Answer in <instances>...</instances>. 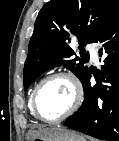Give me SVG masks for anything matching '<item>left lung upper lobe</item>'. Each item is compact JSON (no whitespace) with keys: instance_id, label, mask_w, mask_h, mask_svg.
<instances>
[{"instance_id":"5c2ea615","label":"left lung upper lobe","mask_w":119,"mask_h":141,"mask_svg":"<svg viewBox=\"0 0 119 141\" xmlns=\"http://www.w3.org/2000/svg\"><path fill=\"white\" fill-rule=\"evenodd\" d=\"M119 8V0H50L40 10L24 65V90L42 73L63 65L82 82L89 72L68 43L77 38L79 49L93 43L98 31ZM83 55H81L82 57Z\"/></svg>"}]
</instances>
